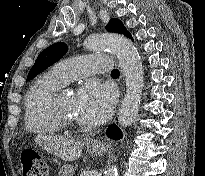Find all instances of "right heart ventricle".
<instances>
[{
	"label": "right heart ventricle",
	"instance_id": "1",
	"mask_svg": "<svg viewBox=\"0 0 205 176\" xmlns=\"http://www.w3.org/2000/svg\"><path fill=\"white\" fill-rule=\"evenodd\" d=\"M66 84L54 73L39 76L30 86L24 101L25 126L32 134H55L61 129L53 115L54 95Z\"/></svg>",
	"mask_w": 205,
	"mask_h": 176
}]
</instances>
